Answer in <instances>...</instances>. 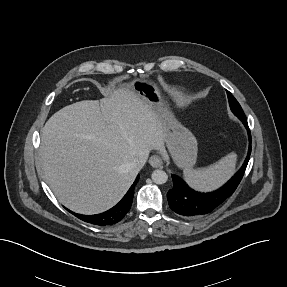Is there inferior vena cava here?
I'll return each instance as SVG.
<instances>
[{
  "label": "inferior vena cava",
  "instance_id": "inferior-vena-cava-1",
  "mask_svg": "<svg viewBox=\"0 0 287 287\" xmlns=\"http://www.w3.org/2000/svg\"><path fill=\"white\" fill-rule=\"evenodd\" d=\"M147 158L148 154L143 153L138 155L131 164L132 168L135 169L136 171H140L144 166V164L146 163Z\"/></svg>",
  "mask_w": 287,
  "mask_h": 287
}]
</instances>
